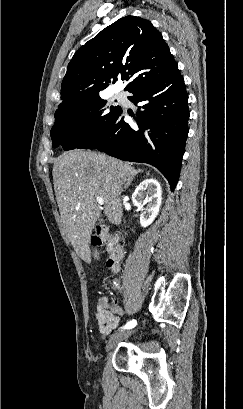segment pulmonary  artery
Segmentation results:
<instances>
[{
  "instance_id": "pulmonary-artery-1",
  "label": "pulmonary artery",
  "mask_w": 243,
  "mask_h": 409,
  "mask_svg": "<svg viewBox=\"0 0 243 409\" xmlns=\"http://www.w3.org/2000/svg\"><path fill=\"white\" fill-rule=\"evenodd\" d=\"M116 98L119 100H124L125 99V95L122 92H118L115 94Z\"/></svg>"
}]
</instances>
